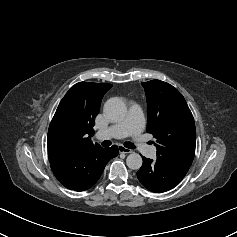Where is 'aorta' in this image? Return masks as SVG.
<instances>
[{
	"instance_id": "1",
	"label": "aorta",
	"mask_w": 237,
	"mask_h": 237,
	"mask_svg": "<svg viewBox=\"0 0 237 237\" xmlns=\"http://www.w3.org/2000/svg\"><path fill=\"white\" fill-rule=\"evenodd\" d=\"M104 113L114 121H121L125 118L127 107L123 100L114 97L107 100L104 104ZM142 158L137 153H131L127 156L126 164L132 170H138L142 166Z\"/></svg>"
}]
</instances>
